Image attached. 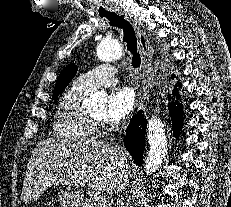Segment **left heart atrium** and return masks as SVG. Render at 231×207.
<instances>
[{
	"label": "left heart atrium",
	"instance_id": "39dd6f15",
	"mask_svg": "<svg viewBox=\"0 0 231 207\" xmlns=\"http://www.w3.org/2000/svg\"><path fill=\"white\" fill-rule=\"evenodd\" d=\"M135 92L129 87L113 90L108 98L103 118L106 122L115 123L128 115L135 105Z\"/></svg>",
	"mask_w": 231,
	"mask_h": 207
}]
</instances>
